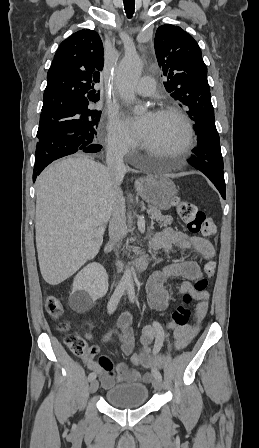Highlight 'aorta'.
Listing matches in <instances>:
<instances>
[{
	"instance_id": "obj_1",
	"label": "aorta",
	"mask_w": 259,
	"mask_h": 448,
	"mask_svg": "<svg viewBox=\"0 0 259 448\" xmlns=\"http://www.w3.org/2000/svg\"><path fill=\"white\" fill-rule=\"evenodd\" d=\"M142 72V62L137 55H126L117 68L116 85L121 98L131 104L136 101L134 87L138 82ZM135 112L141 111L140 107H135ZM121 283L126 286L130 293H134V283L132 270L127 268L121 278Z\"/></svg>"
}]
</instances>
